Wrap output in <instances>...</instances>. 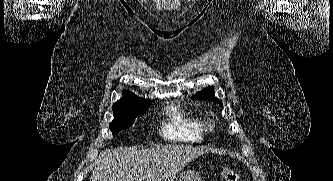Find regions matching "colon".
Here are the masks:
<instances>
[{
    "label": "colon",
    "mask_w": 333,
    "mask_h": 181,
    "mask_svg": "<svg viewBox=\"0 0 333 181\" xmlns=\"http://www.w3.org/2000/svg\"><path fill=\"white\" fill-rule=\"evenodd\" d=\"M222 178L223 181H240L239 175L231 167L222 169Z\"/></svg>",
    "instance_id": "obj_1"
}]
</instances>
